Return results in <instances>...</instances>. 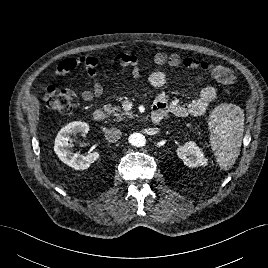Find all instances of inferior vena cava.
Masks as SVG:
<instances>
[{"label": "inferior vena cava", "instance_id": "obj_1", "mask_svg": "<svg viewBox=\"0 0 268 268\" xmlns=\"http://www.w3.org/2000/svg\"><path fill=\"white\" fill-rule=\"evenodd\" d=\"M122 135L121 130L117 128H110L105 131V138L108 142H116Z\"/></svg>", "mask_w": 268, "mask_h": 268}]
</instances>
